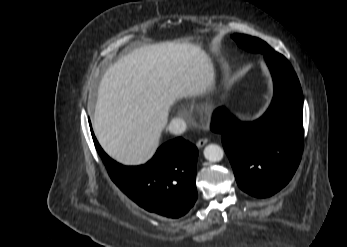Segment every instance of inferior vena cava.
I'll list each match as a JSON object with an SVG mask.
<instances>
[{"label": "inferior vena cava", "instance_id": "1", "mask_svg": "<svg viewBox=\"0 0 347 247\" xmlns=\"http://www.w3.org/2000/svg\"><path fill=\"white\" fill-rule=\"evenodd\" d=\"M167 129L170 133L175 135L183 134L187 129V124L182 118H173Z\"/></svg>", "mask_w": 347, "mask_h": 247}]
</instances>
